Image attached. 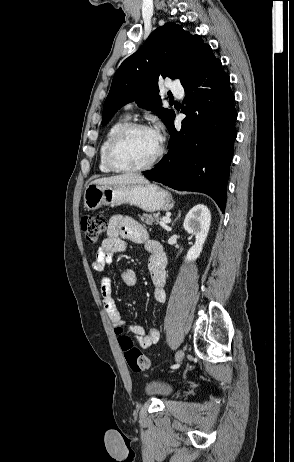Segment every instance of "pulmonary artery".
<instances>
[{
  "label": "pulmonary artery",
  "instance_id": "obj_1",
  "mask_svg": "<svg viewBox=\"0 0 294 462\" xmlns=\"http://www.w3.org/2000/svg\"><path fill=\"white\" fill-rule=\"evenodd\" d=\"M169 89L177 97H180L182 95V93H183V90H182L181 86L177 85V84L170 85ZM131 108H132V104H127L126 105V109H131Z\"/></svg>",
  "mask_w": 294,
  "mask_h": 462
}]
</instances>
